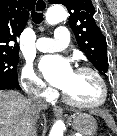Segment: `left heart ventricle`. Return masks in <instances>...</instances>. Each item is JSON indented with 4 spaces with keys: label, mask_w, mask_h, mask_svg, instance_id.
Returning a JSON list of instances; mask_svg holds the SVG:
<instances>
[{
    "label": "left heart ventricle",
    "mask_w": 117,
    "mask_h": 136,
    "mask_svg": "<svg viewBox=\"0 0 117 136\" xmlns=\"http://www.w3.org/2000/svg\"><path fill=\"white\" fill-rule=\"evenodd\" d=\"M64 91L73 100L82 103L96 102L101 96L99 83L89 72L75 71Z\"/></svg>",
    "instance_id": "1"
}]
</instances>
